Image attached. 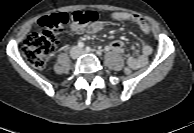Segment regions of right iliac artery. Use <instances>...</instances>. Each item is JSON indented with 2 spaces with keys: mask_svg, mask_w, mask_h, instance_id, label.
Returning a JSON list of instances; mask_svg holds the SVG:
<instances>
[{
  "mask_svg": "<svg viewBox=\"0 0 194 133\" xmlns=\"http://www.w3.org/2000/svg\"><path fill=\"white\" fill-rule=\"evenodd\" d=\"M78 47L79 48H83L84 47V43L83 42H78Z\"/></svg>",
  "mask_w": 194,
  "mask_h": 133,
  "instance_id": "82829eb1",
  "label": "right iliac artery"
}]
</instances>
